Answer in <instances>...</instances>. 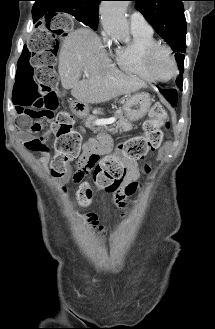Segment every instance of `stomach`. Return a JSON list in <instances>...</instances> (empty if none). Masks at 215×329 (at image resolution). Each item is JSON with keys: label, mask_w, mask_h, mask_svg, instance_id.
Returning a JSON list of instances; mask_svg holds the SVG:
<instances>
[{"label": "stomach", "mask_w": 215, "mask_h": 329, "mask_svg": "<svg viewBox=\"0 0 215 329\" xmlns=\"http://www.w3.org/2000/svg\"><path fill=\"white\" fill-rule=\"evenodd\" d=\"M151 103V98L148 93L142 92L129 96L123 105L126 118L129 121H138L142 119L147 114ZM70 109L72 113L81 117L89 113L88 105L78 100L70 103Z\"/></svg>", "instance_id": "stomach-1"}]
</instances>
